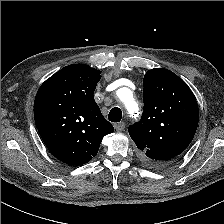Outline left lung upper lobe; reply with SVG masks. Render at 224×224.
Here are the masks:
<instances>
[{"instance_id": "5c2ea615", "label": "left lung upper lobe", "mask_w": 224, "mask_h": 224, "mask_svg": "<svg viewBox=\"0 0 224 224\" xmlns=\"http://www.w3.org/2000/svg\"><path fill=\"white\" fill-rule=\"evenodd\" d=\"M144 111L129 126V134L153 166L175 162L191 143L199 121L196 98L187 84L170 70H149L143 80Z\"/></svg>"}]
</instances>
